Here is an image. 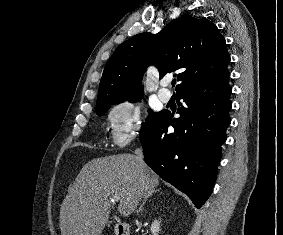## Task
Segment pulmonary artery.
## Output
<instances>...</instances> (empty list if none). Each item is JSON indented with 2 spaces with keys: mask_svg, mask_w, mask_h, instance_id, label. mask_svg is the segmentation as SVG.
<instances>
[{
  "mask_svg": "<svg viewBox=\"0 0 283 235\" xmlns=\"http://www.w3.org/2000/svg\"><path fill=\"white\" fill-rule=\"evenodd\" d=\"M169 82L167 80H163L161 82V88L159 89L158 91V97L159 99L164 102V103H167L170 101L171 99V93L169 90L166 89V87L168 86Z\"/></svg>",
  "mask_w": 283,
  "mask_h": 235,
  "instance_id": "1",
  "label": "pulmonary artery"
}]
</instances>
